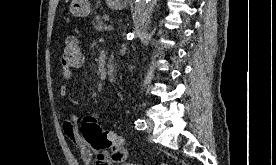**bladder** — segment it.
I'll list each match as a JSON object with an SVG mask.
<instances>
[{"label":"bladder","mask_w":276,"mask_h":165,"mask_svg":"<svg viewBox=\"0 0 276 165\" xmlns=\"http://www.w3.org/2000/svg\"><path fill=\"white\" fill-rule=\"evenodd\" d=\"M119 165H136V164H132V163H122V164H119Z\"/></svg>","instance_id":"1"}]
</instances>
